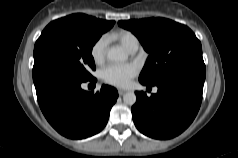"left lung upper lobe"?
I'll return each mask as SVG.
<instances>
[{
  "label": "left lung upper lobe",
  "mask_w": 238,
  "mask_h": 158,
  "mask_svg": "<svg viewBox=\"0 0 238 158\" xmlns=\"http://www.w3.org/2000/svg\"><path fill=\"white\" fill-rule=\"evenodd\" d=\"M118 24L135 34L149 53L139 76L143 85L154 86L168 75L188 68H205L201 43L187 26L165 18L119 21Z\"/></svg>",
  "instance_id": "1"
}]
</instances>
